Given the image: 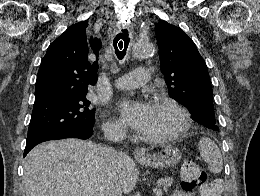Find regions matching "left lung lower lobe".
<instances>
[{"instance_id": "left-lung-lower-lobe-1", "label": "left lung lower lobe", "mask_w": 260, "mask_h": 196, "mask_svg": "<svg viewBox=\"0 0 260 196\" xmlns=\"http://www.w3.org/2000/svg\"><path fill=\"white\" fill-rule=\"evenodd\" d=\"M192 119L203 126H208L215 122L214 108L204 106L201 108H194L191 112Z\"/></svg>"}]
</instances>
